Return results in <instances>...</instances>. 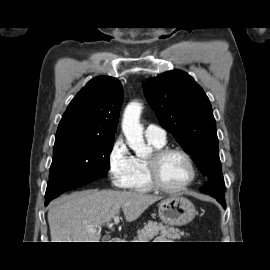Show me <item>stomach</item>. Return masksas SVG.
<instances>
[{
	"instance_id": "1",
	"label": "stomach",
	"mask_w": 270,
	"mask_h": 270,
	"mask_svg": "<svg viewBox=\"0 0 270 270\" xmlns=\"http://www.w3.org/2000/svg\"><path fill=\"white\" fill-rule=\"evenodd\" d=\"M158 213L163 222L170 225L183 226L194 219L196 209L187 198L172 195L159 203Z\"/></svg>"
}]
</instances>
